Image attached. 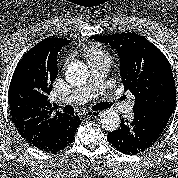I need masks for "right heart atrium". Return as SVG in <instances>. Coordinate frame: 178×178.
Wrapping results in <instances>:
<instances>
[{
    "mask_svg": "<svg viewBox=\"0 0 178 178\" xmlns=\"http://www.w3.org/2000/svg\"><path fill=\"white\" fill-rule=\"evenodd\" d=\"M69 63V60L67 59L66 62H65V66Z\"/></svg>",
    "mask_w": 178,
    "mask_h": 178,
    "instance_id": "1",
    "label": "right heart atrium"
}]
</instances>
